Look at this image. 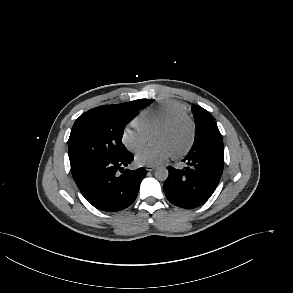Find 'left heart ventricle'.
Masks as SVG:
<instances>
[{
	"instance_id": "left-heart-ventricle-1",
	"label": "left heart ventricle",
	"mask_w": 293,
	"mask_h": 293,
	"mask_svg": "<svg viewBox=\"0 0 293 293\" xmlns=\"http://www.w3.org/2000/svg\"><path fill=\"white\" fill-rule=\"evenodd\" d=\"M190 138V127L183 122L170 130H158L153 134L154 143H165L172 150L173 154L181 151Z\"/></svg>"
}]
</instances>
